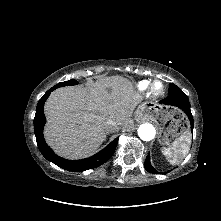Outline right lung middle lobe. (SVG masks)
Instances as JSON below:
<instances>
[{
  "label": "right lung middle lobe",
  "instance_id": "obj_1",
  "mask_svg": "<svg viewBox=\"0 0 221 221\" xmlns=\"http://www.w3.org/2000/svg\"><path fill=\"white\" fill-rule=\"evenodd\" d=\"M78 84V82L74 79H71L69 81H65V82H61L58 83L56 86L52 87L53 89L59 88V87H63V86H72V85H76Z\"/></svg>",
  "mask_w": 221,
  "mask_h": 221
}]
</instances>
